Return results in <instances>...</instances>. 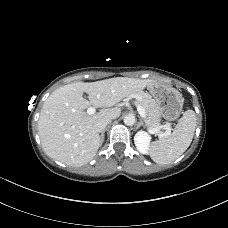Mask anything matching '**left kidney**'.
I'll list each match as a JSON object with an SVG mask.
<instances>
[{
    "instance_id": "5707ae66",
    "label": "left kidney",
    "mask_w": 228,
    "mask_h": 228,
    "mask_svg": "<svg viewBox=\"0 0 228 228\" xmlns=\"http://www.w3.org/2000/svg\"><path fill=\"white\" fill-rule=\"evenodd\" d=\"M151 137L145 131H138L134 136V143L137 150L142 154H148Z\"/></svg>"
}]
</instances>
